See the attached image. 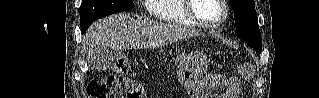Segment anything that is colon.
Here are the masks:
<instances>
[{
	"mask_svg": "<svg viewBox=\"0 0 319 98\" xmlns=\"http://www.w3.org/2000/svg\"><path fill=\"white\" fill-rule=\"evenodd\" d=\"M115 67L116 74H108L89 83L87 87L88 98H143L142 88L125 77L129 63L124 55L118 56ZM248 69L247 65L241 66L244 75L247 74Z\"/></svg>",
	"mask_w": 319,
	"mask_h": 98,
	"instance_id": "5ec220e1",
	"label": "colon"
}]
</instances>
